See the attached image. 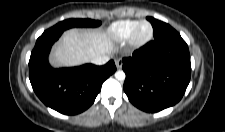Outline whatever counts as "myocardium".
I'll list each match as a JSON object with an SVG mask.
<instances>
[{
  "mask_svg": "<svg viewBox=\"0 0 225 132\" xmlns=\"http://www.w3.org/2000/svg\"><path fill=\"white\" fill-rule=\"evenodd\" d=\"M149 26V32L145 36L140 35V28L143 25ZM153 37V27L150 22L146 20L139 21L134 29L132 30L130 36L128 37V43L133 48H141L146 45Z\"/></svg>",
  "mask_w": 225,
  "mask_h": 132,
  "instance_id": "obj_1",
  "label": "myocardium"
}]
</instances>
